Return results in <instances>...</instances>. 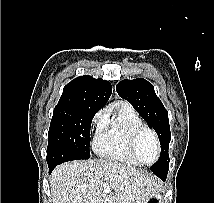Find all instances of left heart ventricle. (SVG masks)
<instances>
[{
    "label": "left heart ventricle",
    "instance_id": "b2bd125f",
    "mask_svg": "<svg viewBox=\"0 0 214 203\" xmlns=\"http://www.w3.org/2000/svg\"><path fill=\"white\" fill-rule=\"evenodd\" d=\"M137 150L140 158L150 163L156 158V146L152 136L149 133H143L138 141Z\"/></svg>",
    "mask_w": 214,
    "mask_h": 203
}]
</instances>
